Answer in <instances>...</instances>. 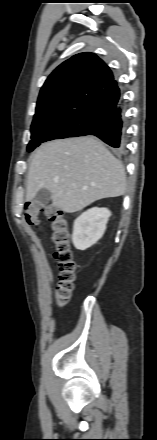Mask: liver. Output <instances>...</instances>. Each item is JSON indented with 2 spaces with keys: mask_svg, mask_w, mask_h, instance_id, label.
Instances as JSON below:
<instances>
[{
  "mask_svg": "<svg viewBox=\"0 0 157 440\" xmlns=\"http://www.w3.org/2000/svg\"><path fill=\"white\" fill-rule=\"evenodd\" d=\"M47 189L53 206L73 213L126 191L123 164L94 137L54 140L34 154L26 179V200Z\"/></svg>",
  "mask_w": 157,
  "mask_h": 440,
  "instance_id": "obj_1",
  "label": "liver"
}]
</instances>
